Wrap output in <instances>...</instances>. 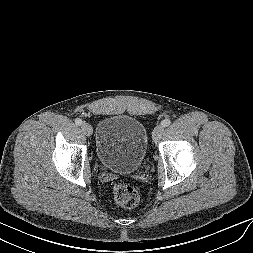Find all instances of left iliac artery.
<instances>
[{"label":"left iliac artery","mask_w":253,"mask_h":253,"mask_svg":"<svg viewBox=\"0 0 253 253\" xmlns=\"http://www.w3.org/2000/svg\"><path fill=\"white\" fill-rule=\"evenodd\" d=\"M163 127H167L171 124V121L169 119H165L161 122Z\"/></svg>","instance_id":"obj_1"}]
</instances>
